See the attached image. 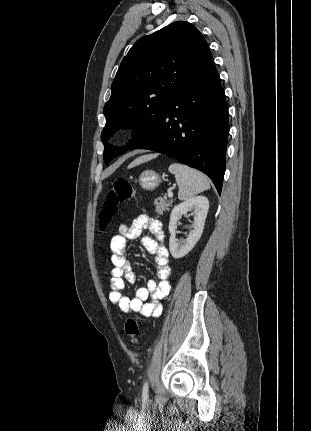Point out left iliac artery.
<instances>
[{
	"label": "left iliac artery",
	"mask_w": 311,
	"mask_h": 431,
	"mask_svg": "<svg viewBox=\"0 0 311 431\" xmlns=\"http://www.w3.org/2000/svg\"><path fill=\"white\" fill-rule=\"evenodd\" d=\"M142 399H143V401L148 400V382L147 381L143 385Z\"/></svg>",
	"instance_id": "obj_1"
}]
</instances>
